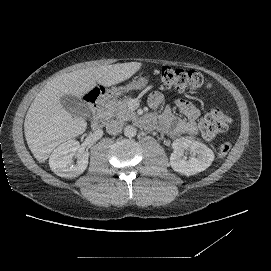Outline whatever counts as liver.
I'll return each mask as SVG.
<instances>
[{"mask_svg": "<svg viewBox=\"0 0 271 271\" xmlns=\"http://www.w3.org/2000/svg\"><path fill=\"white\" fill-rule=\"evenodd\" d=\"M142 64L117 63L101 67H86L52 78L31 103L24 121L28 147L39 162H45L51 152L66 140L83 134L87 122L73 117L60 100L64 95L81 98L96 84L110 87L129 79Z\"/></svg>", "mask_w": 271, "mask_h": 271, "instance_id": "liver-1", "label": "liver"}]
</instances>
